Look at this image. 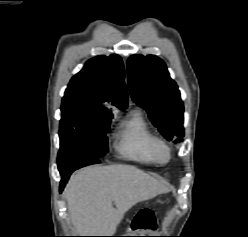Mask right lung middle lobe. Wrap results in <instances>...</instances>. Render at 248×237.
Returning a JSON list of instances; mask_svg holds the SVG:
<instances>
[{
    "label": "right lung middle lobe",
    "mask_w": 248,
    "mask_h": 237,
    "mask_svg": "<svg viewBox=\"0 0 248 237\" xmlns=\"http://www.w3.org/2000/svg\"><path fill=\"white\" fill-rule=\"evenodd\" d=\"M112 117L92 114L76 106L62 105L58 158L104 156L108 152L106 134L110 131Z\"/></svg>",
    "instance_id": "right-lung-middle-lobe-1"
}]
</instances>
